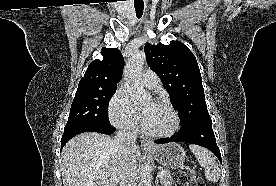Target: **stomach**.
<instances>
[{"mask_svg":"<svg viewBox=\"0 0 276 186\" xmlns=\"http://www.w3.org/2000/svg\"><path fill=\"white\" fill-rule=\"evenodd\" d=\"M155 160L167 169H178L184 165L185 151L177 143L157 146L150 151Z\"/></svg>","mask_w":276,"mask_h":186,"instance_id":"stomach-1","label":"stomach"}]
</instances>
